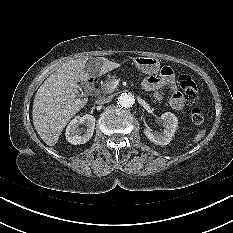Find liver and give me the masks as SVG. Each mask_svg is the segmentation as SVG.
I'll list each match as a JSON object with an SVG mask.
<instances>
[{
	"label": "liver",
	"mask_w": 233,
	"mask_h": 233,
	"mask_svg": "<svg viewBox=\"0 0 233 233\" xmlns=\"http://www.w3.org/2000/svg\"><path fill=\"white\" fill-rule=\"evenodd\" d=\"M87 56L70 60L59 67L39 87L33 102V124L40 138L54 146L63 128L86 104L87 98H77L78 82L101 76L120 67L119 63L100 58L92 72L85 71Z\"/></svg>",
	"instance_id": "6515ba94"
}]
</instances>
